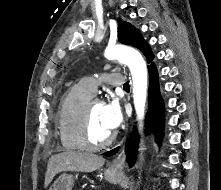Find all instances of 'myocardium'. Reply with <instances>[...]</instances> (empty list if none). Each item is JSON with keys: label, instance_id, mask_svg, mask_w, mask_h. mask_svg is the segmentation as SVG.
Listing matches in <instances>:
<instances>
[{"label": "myocardium", "instance_id": "f54148a6", "mask_svg": "<svg viewBox=\"0 0 221 190\" xmlns=\"http://www.w3.org/2000/svg\"><path fill=\"white\" fill-rule=\"evenodd\" d=\"M101 104V100L98 98H91L88 100L82 109L80 118L79 134L82 145L88 150H99L103 149L113 143L115 140V133H111L107 138L102 141H94L91 138L90 125H91V109L93 105Z\"/></svg>", "mask_w": 221, "mask_h": 190}]
</instances>
